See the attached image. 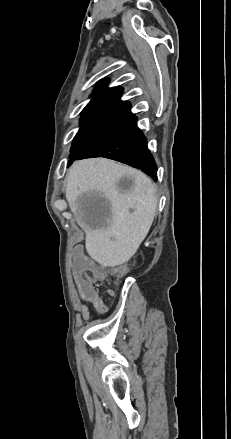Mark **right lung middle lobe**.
Masks as SVG:
<instances>
[{"instance_id": "obj_1", "label": "right lung middle lobe", "mask_w": 231, "mask_h": 439, "mask_svg": "<svg viewBox=\"0 0 231 439\" xmlns=\"http://www.w3.org/2000/svg\"><path fill=\"white\" fill-rule=\"evenodd\" d=\"M124 121L107 117H82L81 127L70 150L69 165L81 155L103 140Z\"/></svg>"}]
</instances>
